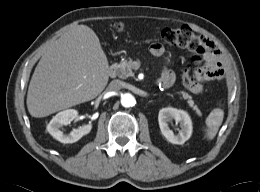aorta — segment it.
Here are the masks:
<instances>
[{
    "instance_id": "1",
    "label": "aorta",
    "mask_w": 260,
    "mask_h": 192,
    "mask_svg": "<svg viewBox=\"0 0 260 192\" xmlns=\"http://www.w3.org/2000/svg\"><path fill=\"white\" fill-rule=\"evenodd\" d=\"M136 103L135 98L130 93H125L121 96V104L124 107H132Z\"/></svg>"
}]
</instances>
